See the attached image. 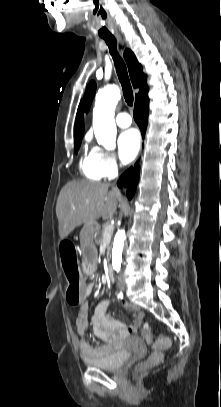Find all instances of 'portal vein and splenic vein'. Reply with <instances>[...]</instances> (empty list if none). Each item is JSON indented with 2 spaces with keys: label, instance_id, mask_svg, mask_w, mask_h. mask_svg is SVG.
Here are the masks:
<instances>
[{
  "label": "portal vein and splenic vein",
  "instance_id": "portal-vein-and-splenic-vein-1",
  "mask_svg": "<svg viewBox=\"0 0 221 407\" xmlns=\"http://www.w3.org/2000/svg\"><path fill=\"white\" fill-rule=\"evenodd\" d=\"M114 226L113 225H107L104 229L103 232V237H109L113 233Z\"/></svg>",
  "mask_w": 221,
  "mask_h": 407
}]
</instances>
